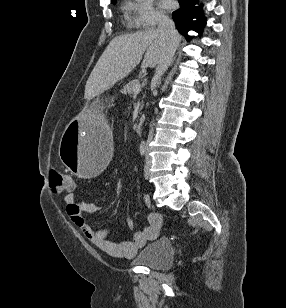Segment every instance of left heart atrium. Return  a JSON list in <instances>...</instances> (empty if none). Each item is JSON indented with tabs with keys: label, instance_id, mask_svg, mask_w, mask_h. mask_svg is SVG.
I'll return each instance as SVG.
<instances>
[{
	"label": "left heart atrium",
	"instance_id": "left-heart-atrium-1",
	"mask_svg": "<svg viewBox=\"0 0 286 308\" xmlns=\"http://www.w3.org/2000/svg\"><path fill=\"white\" fill-rule=\"evenodd\" d=\"M159 5L163 8V9H172L174 7V2L173 0H159Z\"/></svg>",
	"mask_w": 286,
	"mask_h": 308
}]
</instances>
